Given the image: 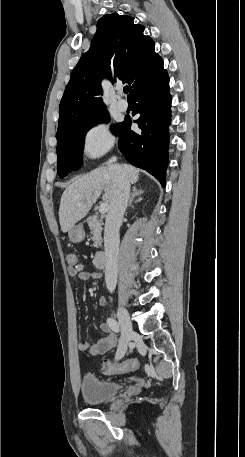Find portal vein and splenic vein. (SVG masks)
<instances>
[{"label": "portal vein and splenic vein", "mask_w": 245, "mask_h": 457, "mask_svg": "<svg viewBox=\"0 0 245 457\" xmlns=\"http://www.w3.org/2000/svg\"><path fill=\"white\" fill-rule=\"evenodd\" d=\"M95 194H96V192H95ZM80 204H82V202H80ZM108 208H109L108 202H102V204H100V206H99V212H102V214H104V212H107Z\"/></svg>", "instance_id": "portal-vein-and-splenic-vein-1"}]
</instances>
